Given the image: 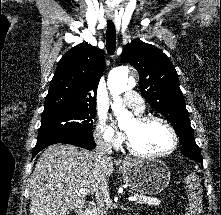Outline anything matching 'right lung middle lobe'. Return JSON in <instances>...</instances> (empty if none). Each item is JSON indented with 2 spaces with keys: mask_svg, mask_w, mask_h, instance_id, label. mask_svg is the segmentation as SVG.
<instances>
[{
  "mask_svg": "<svg viewBox=\"0 0 221 215\" xmlns=\"http://www.w3.org/2000/svg\"><path fill=\"white\" fill-rule=\"evenodd\" d=\"M96 108H73L42 114L38 139L91 132Z\"/></svg>",
  "mask_w": 221,
  "mask_h": 215,
  "instance_id": "right-lung-middle-lobe-1",
  "label": "right lung middle lobe"
}]
</instances>
